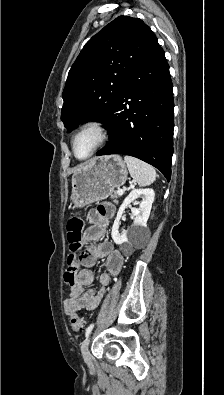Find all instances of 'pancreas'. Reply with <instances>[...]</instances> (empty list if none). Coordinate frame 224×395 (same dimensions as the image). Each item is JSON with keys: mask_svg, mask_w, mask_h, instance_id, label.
<instances>
[{"mask_svg": "<svg viewBox=\"0 0 224 395\" xmlns=\"http://www.w3.org/2000/svg\"><path fill=\"white\" fill-rule=\"evenodd\" d=\"M118 194L116 192H113L110 196V198L116 203L118 199Z\"/></svg>", "mask_w": 224, "mask_h": 395, "instance_id": "pancreas-1", "label": "pancreas"}]
</instances>
